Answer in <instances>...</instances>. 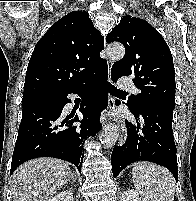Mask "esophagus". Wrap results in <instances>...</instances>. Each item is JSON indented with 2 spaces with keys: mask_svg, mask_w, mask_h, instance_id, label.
Segmentation results:
<instances>
[{
  "mask_svg": "<svg viewBox=\"0 0 196 201\" xmlns=\"http://www.w3.org/2000/svg\"><path fill=\"white\" fill-rule=\"evenodd\" d=\"M108 66H109L108 80H109V82H112V77H111L112 61L111 60L108 61ZM108 107H109L110 111L115 109V103H114V99L112 96H109ZM105 126L106 125L104 124V127ZM126 137H127V132H126L125 126L123 124H121L120 125V134H119V144L120 145L125 143Z\"/></svg>",
  "mask_w": 196,
  "mask_h": 201,
  "instance_id": "obj_1",
  "label": "esophagus"
}]
</instances>
